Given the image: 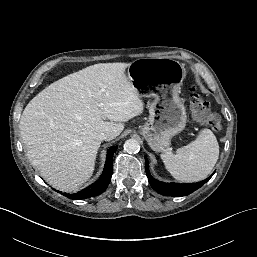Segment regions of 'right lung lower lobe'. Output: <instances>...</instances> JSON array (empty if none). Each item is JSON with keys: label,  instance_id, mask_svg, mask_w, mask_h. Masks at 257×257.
I'll list each match as a JSON object with an SVG mask.
<instances>
[{"label": "right lung lower lobe", "instance_id": "right-lung-lower-lobe-1", "mask_svg": "<svg viewBox=\"0 0 257 257\" xmlns=\"http://www.w3.org/2000/svg\"><path fill=\"white\" fill-rule=\"evenodd\" d=\"M116 150H117V146L111 147L108 150L103 173L95 183L91 184L90 186L86 187L85 189L75 194H64V195L70 199L80 200V199L97 196L102 192H104L111 180L112 170H113L112 157Z\"/></svg>", "mask_w": 257, "mask_h": 257}]
</instances>
